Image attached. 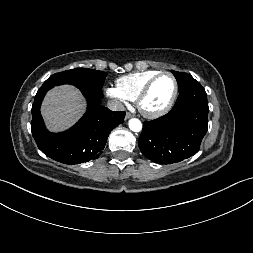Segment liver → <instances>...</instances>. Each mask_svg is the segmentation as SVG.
Segmentation results:
<instances>
[{
    "instance_id": "1",
    "label": "liver",
    "mask_w": 253,
    "mask_h": 253,
    "mask_svg": "<svg viewBox=\"0 0 253 253\" xmlns=\"http://www.w3.org/2000/svg\"><path fill=\"white\" fill-rule=\"evenodd\" d=\"M85 100L78 89L63 85L50 90L41 113L50 131L58 132L72 126L85 110Z\"/></svg>"
}]
</instances>
